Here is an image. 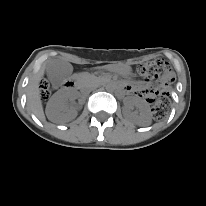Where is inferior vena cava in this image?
<instances>
[{"instance_id": "inferior-vena-cava-1", "label": "inferior vena cava", "mask_w": 206, "mask_h": 206, "mask_svg": "<svg viewBox=\"0 0 206 206\" xmlns=\"http://www.w3.org/2000/svg\"><path fill=\"white\" fill-rule=\"evenodd\" d=\"M94 89H96V86L90 87V88L86 89L84 92H85V93H90V92L93 91Z\"/></svg>"}]
</instances>
